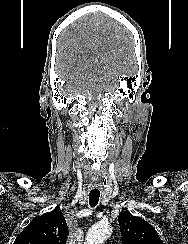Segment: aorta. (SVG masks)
I'll return each instance as SVG.
<instances>
[{
    "label": "aorta",
    "instance_id": "1",
    "mask_svg": "<svg viewBox=\"0 0 188 244\" xmlns=\"http://www.w3.org/2000/svg\"><path fill=\"white\" fill-rule=\"evenodd\" d=\"M111 233L112 228L108 223H97L89 229L85 244H101L111 235Z\"/></svg>",
    "mask_w": 188,
    "mask_h": 244
}]
</instances>
